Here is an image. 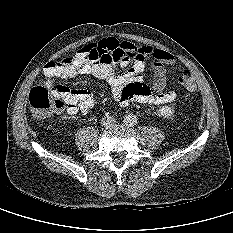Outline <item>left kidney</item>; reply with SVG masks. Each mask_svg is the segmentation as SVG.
Wrapping results in <instances>:
<instances>
[{
  "instance_id": "obj_1",
  "label": "left kidney",
  "mask_w": 233,
  "mask_h": 233,
  "mask_svg": "<svg viewBox=\"0 0 233 233\" xmlns=\"http://www.w3.org/2000/svg\"><path fill=\"white\" fill-rule=\"evenodd\" d=\"M159 114L163 117H171L174 114V110L170 106H163L159 108Z\"/></svg>"
}]
</instances>
